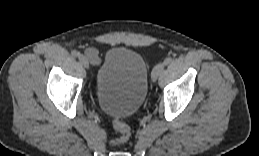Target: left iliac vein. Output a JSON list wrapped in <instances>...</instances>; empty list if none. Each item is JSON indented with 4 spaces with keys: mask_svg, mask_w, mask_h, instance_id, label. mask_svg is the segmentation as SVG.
<instances>
[{
    "mask_svg": "<svg viewBox=\"0 0 259 156\" xmlns=\"http://www.w3.org/2000/svg\"><path fill=\"white\" fill-rule=\"evenodd\" d=\"M165 65L164 63H159L157 64L153 70H152V73H151V80L154 82L157 80V78L159 77V75L161 74V72L163 71Z\"/></svg>",
    "mask_w": 259,
    "mask_h": 156,
    "instance_id": "left-iliac-vein-1",
    "label": "left iliac vein"
}]
</instances>
